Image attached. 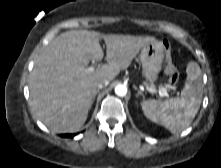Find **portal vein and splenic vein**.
Instances as JSON below:
<instances>
[{
    "mask_svg": "<svg viewBox=\"0 0 221 168\" xmlns=\"http://www.w3.org/2000/svg\"><path fill=\"white\" fill-rule=\"evenodd\" d=\"M85 71H87V72H93V71H94V67L86 68ZM146 90L149 91L150 93H157V92H158L161 96L169 97L168 91H167V89H165V88H161V89H159V90H156V89H154V88H149V87H147Z\"/></svg>",
    "mask_w": 221,
    "mask_h": 168,
    "instance_id": "18ae733b",
    "label": "portal vein and splenic vein"
}]
</instances>
